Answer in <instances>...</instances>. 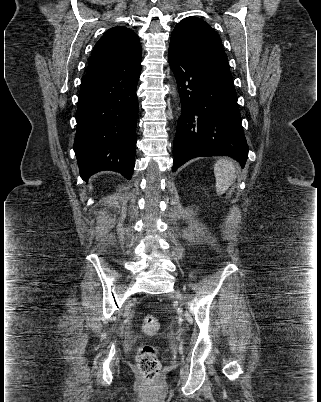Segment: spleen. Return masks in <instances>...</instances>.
<instances>
[{
    "instance_id": "spleen-1",
    "label": "spleen",
    "mask_w": 321,
    "mask_h": 402,
    "mask_svg": "<svg viewBox=\"0 0 321 402\" xmlns=\"http://www.w3.org/2000/svg\"><path fill=\"white\" fill-rule=\"evenodd\" d=\"M214 175L216 178V192L218 195L224 194L235 182L236 169L232 161L228 159H220L214 166ZM229 192V197L231 195Z\"/></svg>"
}]
</instances>
